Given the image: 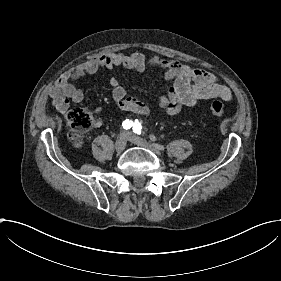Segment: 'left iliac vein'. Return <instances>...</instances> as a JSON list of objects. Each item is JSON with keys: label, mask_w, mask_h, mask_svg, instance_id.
<instances>
[{"label": "left iliac vein", "mask_w": 281, "mask_h": 281, "mask_svg": "<svg viewBox=\"0 0 281 281\" xmlns=\"http://www.w3.org/2000/svg\"><path fill=\"white\" fill-rule=\"evenodd\" d=\"M123 139L129 140L130 143H134L136 146H144L147 147V149L152 148V144H149L147 141H142V139L138 138L136 135L133 136V133L127 132L126 134H123Z\"/></svg>", "instance_id": "4c4485c4"}]
</instances>
